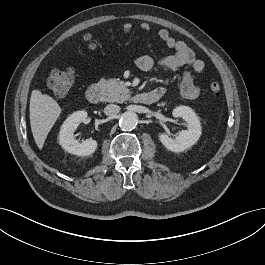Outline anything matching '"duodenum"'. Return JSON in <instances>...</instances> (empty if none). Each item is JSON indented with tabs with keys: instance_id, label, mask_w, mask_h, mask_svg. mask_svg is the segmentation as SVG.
Wrapping results in <instances>:
<instances>
[{
	"instance_id": "410a0bca",
	"label": "duodenum",
	"mask_w": 265,
	"mask_h": 265,
	"mask_svg": "<svg viewBox=\"0 0 265 265\" xmlns=\"http://www.w3.org/2000/svg\"><path fill=\"white\" fill-rule=\"evenodd\" d=\"M101 88L98 85H91L86 91V98L92 104H97L101 99ZM163 94L156 91L139 92L134 95L133 100L140 104L151 105L158 102Z\"/></svg>"
}]
</instances>
